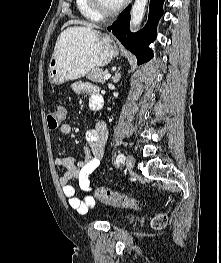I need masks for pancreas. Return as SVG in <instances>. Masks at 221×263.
Masks as SVG:
<instances>
[{
  "instance_id": "cf45deb5",
  "label": "pancreas",
  "mask_w": 221,
  "mask_h": 263,
  "mask_svg": "<svg viewBox=\"0 0 221 263\" xmlns=\"http://www.w3.org/2000/svg\"><path fill=\"white\" fill-rule=\"evenodd\" d=\"M108 73L107 70H103L100 68H94L87 74V79L95 82V83H105V79L103 78Z\"/></svg>"
}]
</instances>
